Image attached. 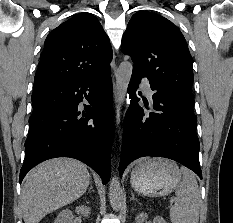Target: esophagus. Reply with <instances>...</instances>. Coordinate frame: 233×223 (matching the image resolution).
I'll use <instances>...</instances> for the list:
<instances>
[{
  "mask_svg": "<svg viewBox=\"0 0 233 223\" xmlns=\"http://www.w3.org/2000/svg\"><path fill=\"white\" fill-rule=\"evenodd\" d=\"M113 94H114V102L116 107V121L118 125L120 123V110L118 107V91L115 81H113Z\"/></svg>",
  "mask_w": 233,
  "mask_h": 223,
  "instance_id": "34e87169",
  "label": "esophagus"
}]
</instances>
